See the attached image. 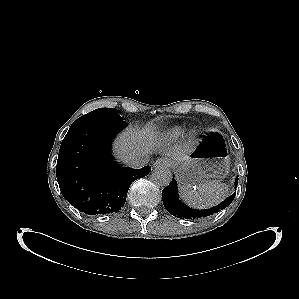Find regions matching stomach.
<instances>
[{
  "label": "stomach",
  "mask_w": 299,
  "mask_h": 299,
  "mask_svg": "<svg viewBox=\"0 0 299 299\" xmlns=\"http://www.w3.org/2000/svg\"><path fill=\"white\" fill-rule=\"evenodd\" d=\"M183 185L200 186L220 181L229 172L230 158L223 137L218 132L205 136L181 161L173 163Z\"/></svg>",
  "instance_id": "obj_1"
}]
</instances>
